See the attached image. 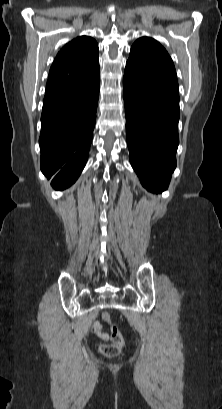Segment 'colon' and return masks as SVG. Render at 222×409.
<instances>
[{
    "label": "colon",
    "instance_id": "obj_1",
    "mask_svg": "<svg viewBox=\"0 0 222 409\" xmlns=\"http://www.w3.org/2000/svg\"><path fill=\"white\" fill-rule=\"evenodd\" d=\"M105 321H109L108 313H103L102 315ZM125 345V340L117 325H111V343L104 344L101 346V352L107 357L117 356Z\"/></svg>",
    "mask_w": 222,
    "mask_h": 409
}]
</instances>
